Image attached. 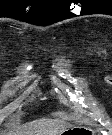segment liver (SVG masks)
<instances>
[{"instance_id":"1","label":"liver","mask_w":112,"mask_h":135,"mask_svg":"<svg viewBox=\"0 0 112 135\" xmlns=\"http://www.w3.org/2000/svg\"><path fill=\"white\" fill-rule=\"evenodd\" d=\"M64 125L52 120H36L24 127L22 135H60Z\"/></svg>"}]
</instances>
